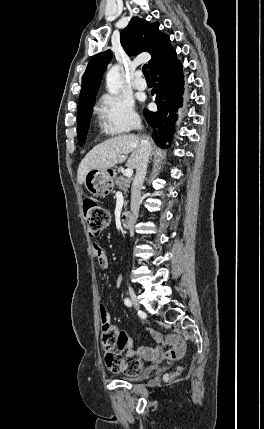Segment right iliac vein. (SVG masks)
<instances>
[{
	"label": "right iliac vein",
	"mask_w": 264,
	"mask_h": 429,
	"mask_svg": "<svg viewBox=\"0 0 264 429\" xmlns=\"http://www.w3.org/2000/svg\"><path fill=\"white\" fill-rule=\"evenodd\" d=\"M128 292H129V295H130V298H131L133 304L135 305V309L139 310L140 309L139 302H138L137 296H136V294H135V292L131 286L128 287Z\"/></svg>",
	"instance_id": "63e3f726"
}]
</instances>
